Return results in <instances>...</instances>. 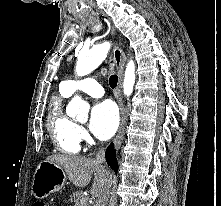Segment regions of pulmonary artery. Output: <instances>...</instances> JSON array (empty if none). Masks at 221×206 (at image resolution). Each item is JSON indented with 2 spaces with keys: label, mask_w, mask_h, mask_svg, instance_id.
<instances>
[{
  "label": "pulmonary artery",
  "mask_w": 221,
  "mask_h": 206,
  "mask_svg": "<svg viewBox=\"0 0 221 206\" xmlns=\"http://www.w3.org/2000/svg\"><path fill=\"white\" fill-rule=\"evenodd\" d=\"M62 87L66 93L72 95L76 92H84L92 97H102L104 89L93 78L87 77L81 81L67 80L62 83Z\"/></svg>",
  "instance_id": "pulmonary-artery-1"
}]
</instances>
